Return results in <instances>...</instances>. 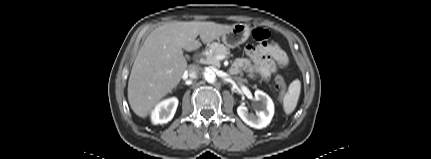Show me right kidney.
<instances>
[{
  "label": "right kidney",
  "instance_id": "obj_1",
  "mask_svg": "<svg viewBox=\"0 0 431 159\" xmlns=\"http://www.w3.org/2000/svg\"><path fill=\"white\" fill-rule=\"evenodd\" d=\"M177 106V98H170L160 102L152 112V122L154 124H163L169 122L174 117Z\"/></svg>",
  "mask_w": 431,
  "mask_h": 159
}]
</instances>
